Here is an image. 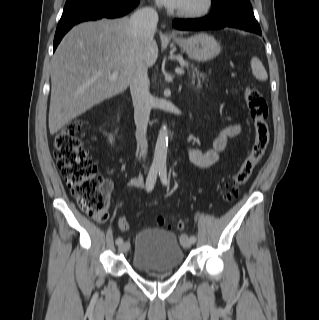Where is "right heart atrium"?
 <instances>
[{"label":"right heart atrium","instance_id":"right-heart-atrium-1","mask_svg":"<svg viewBox=\"0 0 319 320\" xmlns=\"http://www.w3.org/2000/svg\"><path fill=\"white\" fill-rule=\"evenodd\" d=\"M154 5H155V6H158V3H155Z\"/></svg>","mask_w":319,"mask_h":320}]
</instances>
